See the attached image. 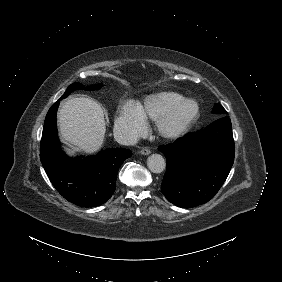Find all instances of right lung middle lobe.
Returning <instances> with one entry per match:
<instances>
[{"label":"right lung middle lobe","mask_w":282,"mask_h":282,"mask_svg":"<svg viewBox=\"0 0 282 282\" xmlns=\"http://www.w3.org/2000/svg\"><path fill=\"white\" fill-rule=\"evenodd\" d=\"M102 86V84H96V85H91L88 87H84L82 84L80 83H73L71 84L67 91L62 95L63 98H66L72 91L76 90V89H84V90H88V91H93L96 89H100V87Z\"/></svg>","instance_id":"dd1d6c3e"}]
</instances>
